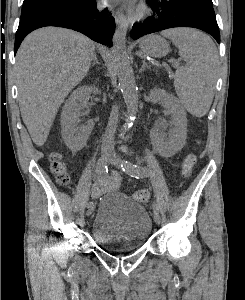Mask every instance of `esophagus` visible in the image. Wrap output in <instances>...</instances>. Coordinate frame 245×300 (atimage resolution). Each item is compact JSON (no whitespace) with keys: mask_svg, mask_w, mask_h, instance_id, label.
Wrapping results in <instances>:
<instances>
[{"mask_svg":"<svg viewBox=\"0 0 245 300\" xmlns=\"http://www.w3.org/2000/svg\"><path fill=\"white\" fill-rule=\"evenodd\" d=\"M113 15L117 24L125 22V17L122 10H117Z\"/></svg>","mask_w":245,"mask_h":300,"instance_id":"34e87169","label":"esophagus"}]
</instances>
